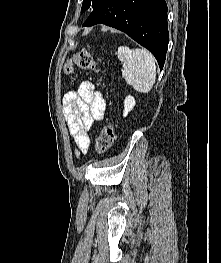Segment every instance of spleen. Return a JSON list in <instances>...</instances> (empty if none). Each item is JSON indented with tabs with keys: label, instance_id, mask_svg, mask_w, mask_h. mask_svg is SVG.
Returning <instances> with one entry per match:
<instances>
[{
	"label": "spleen",
	"instance_id": "3e777b00",
	"mask_svg": "<svg viewBox=\"0 0 221 263\" xmlns=\"http://www.w3.org/2000/svg\"><path fill=\"white\" fill-rule=\"evenodd\" d=\"M118 59L124 63L122 77L141 93H148L156 79L155 58L143 48L118 47Z\"/></svg>",
	"mask_w": 221,
	"mask_h": 263
}]
</instances>
